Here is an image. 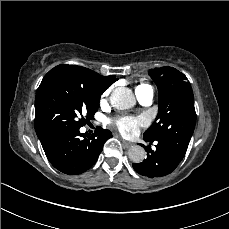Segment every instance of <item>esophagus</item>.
Wrapping results in <instances>:
<instances>
[{"label": "esophagus", "mask_w": 229, "mask_h": 229, "mask_svg": "<svg viewBox=\"0 0 229 229\" xmlns=\"http://www.w3.org/2000/svg\"><path fill=\"white\" fill-rule=\"evenodd\" d=\"M122 144L125 148H131L133 146L132 142L126 141V140H122Z\"/></svg>", "instance_id": "34e87169"}]
</instances>
